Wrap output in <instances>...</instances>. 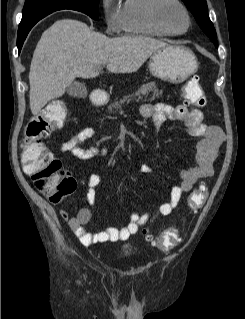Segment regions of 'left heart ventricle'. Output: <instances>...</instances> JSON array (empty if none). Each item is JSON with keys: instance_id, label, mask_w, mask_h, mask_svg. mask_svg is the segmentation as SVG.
<instances>
[{"instance_id": "obj_1", "label": "left heart ventricle", "mask_w": 245, "mask_h": 319, "mask_svg": "<svg viewBox=\"0 0 245 319\" xmlns=\"http://www.w3.org/2000/svg\"><path fill=\"white\" fill-rule=\"evenodd\" d=\"M164 18L169 26L177 31L183 30L186 26V18L183 12L175 5H168L163 11Z\"/></svg>"}]
</instances>
